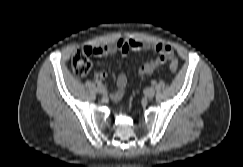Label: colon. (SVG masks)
<instances>
[{"mask_svg": "<svg viewBox=\"0 0 243 167\" xmlns=\"http://www.w3.org/2000/svg\"><path fill=\"white\" fill-rule=\"evenodd\" d=\"M92 54H93L92 48H79L72 53L71 65L74 73L77 76L83 77L90 72L92 67V62H91ZM178 66H179L178 61L176 59H173L170 62L169 68L172 72H175L177 71Z\"/></svg>", "mask_w": 243, "mask_h": 167, "instance_id": "obj_1", "label": "colon"}]
</instances>
